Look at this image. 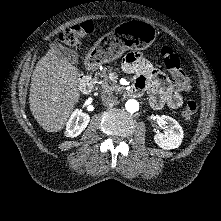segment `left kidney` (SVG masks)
I'll use <instances>...</instances> for the list:
<instances>
[{
  "label": "left kidney",
  "mask_w": 221,
  "mask_h": 221,
  "mask_svg": "<svg viewBox=\"0 0 221 221\" xmlns=\"http://www.w3.org/2000/svg\"><path fill=\"white\" fill-rule=\"evenodd\" d=\"M159 121L167 125V132L157 133L154 136L155 143L162 149L170 150L179 147L183 140V129L180 124L173 118L162 115Z\"/></svg>",
  "instance_id": "left-kidney-1"
}]
</instances>
